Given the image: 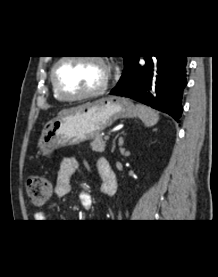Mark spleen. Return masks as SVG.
Here are the masks:
<instances>
[{
    "label": "spleen",
    "instance_id": "obj_1",
    "mask_svg": "<svg viewBox=\"0 0 218 277\" xmlns=\"http://www.w3.org/2000/svg\"><path fill=\"white\" fill-rule=\"evenodd\" d=\"M136 111L138 117L145 124V126L151 127L157 124L159 120V114L153 109L142 104H137Z\"/></svg>",
    "mask_w": 218,
    "mask_h": 277
}]
</instances>
